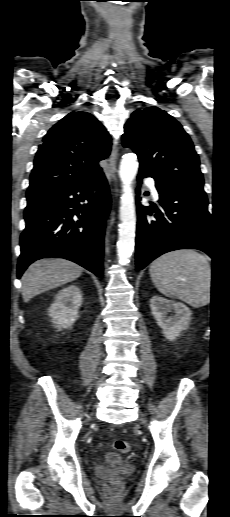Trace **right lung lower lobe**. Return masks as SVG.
<instances>
[{
  "label": "right lung lower lobe",
  "mask_w": 230,
  "mask_h": 517,
  "mask_svg": "<svg viewBox=\"0 0 230 517\" xmlns=\"http://www.w3.org/2000/svg\"><path fill=\"white\" fill-rule=\"evenodd\" d=\"M110 204L103 172L71 187L27 196L18 278L32 262L47 257L71 260L102 277Z\"/></svg>",
  "instance_id": "98d812e1"
}]
</instances>
